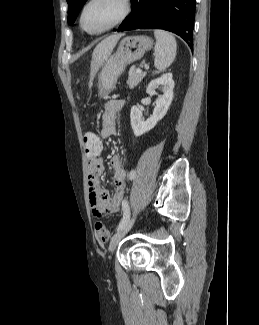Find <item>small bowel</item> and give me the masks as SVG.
I'll return each instance as SVG.
<instances>
[{"instance_id":"small-bowel-1","label":"small bowel","mask_w":259,"mask_h":325,"mask_svg":"<svg viewBox=\"0 0 259 325\" xmlns=\"http://www.w3.org/2000/svg\"><path fill=\"white\" fill-rule=\"evenodd\" d=\"M123 106L124 101L121 99H111L105 104L100 133L99 135H96L97 138L102 139V143L104 139L109 138L116 133V121ZM102 151L103 148L95 149L94 151H86L89 202L91 210L95 216L117 212L120 209L126 194L127 171L120 155H114L111 158V166L114 171V194L110 195L100 186L99 177L104 171L103 160L101 158Z\"/></svg>"}]
</instances>
